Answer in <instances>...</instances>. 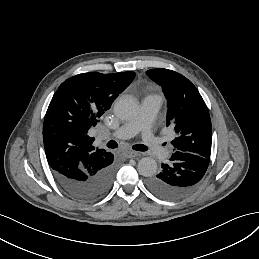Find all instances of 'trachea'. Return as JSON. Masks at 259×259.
<instances>
[{
    "instance_id": "1",
    "label": "trachea",
    "mask_w": 259,
    "mask_h": 259,
    "mask_svg": "<svg viewBox=\"0 0 259 259\" xmlns=\"http://www.w3.org/2000/svg\"><path fill=\"white\" fill-rule=\"evenodd\" d=\"M107 147L108 148H117L118 144H117L116 141L110 140L107 143ZM133 149L137 150V151L145 152V151H147L149 149V147H147L146 145H143V144H136V145L133 146Z\"/></svg>"
}]
</instances>
